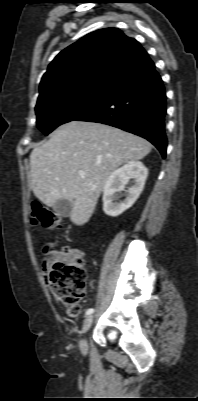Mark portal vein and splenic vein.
Segmentation results:
<instances>
[{
    "mask_svg": "<svg viewBox=\"0 0 198 401\" xmlns=\"http://www.w3.org/2000/svg\"><path fill=\"white\" fill-rule=\"evenodd\" d=\"M78 174H79L80 177H84L85 172L84 171H79Z\"/></svg>",
    "mask_w": 198,
    "mask_h": 401,
    "instance_id": "obj_1",
    "label": "portal vein and splenic vein"
}]
</instances>
